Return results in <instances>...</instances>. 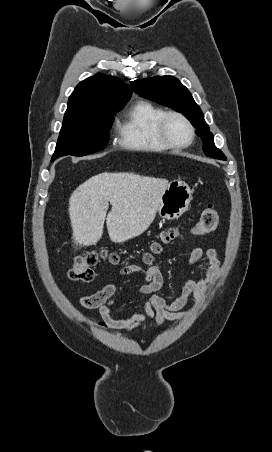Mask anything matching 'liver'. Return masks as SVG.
Listing matches in <instances>:
<instances>
[{
    "instance_id": "liver-1",
    "label": "liver",
    "mask_w": 272,
    "mask_h": 452,
    "mask_svg": "<svg viewBox=\"0 0 272 452\" xmlns=\"http://www.w3.org/2000/svg\"><path fill=\"white\" fill-rule=\"evenodd\" d=\"M168 180L135 173H100L79 185L69 199L73 241L95 245L104 222L111 241L123 243L145 232L153 222ZM109 202L111 211L107 214Z\"/></svg>"
}]
</instances>
